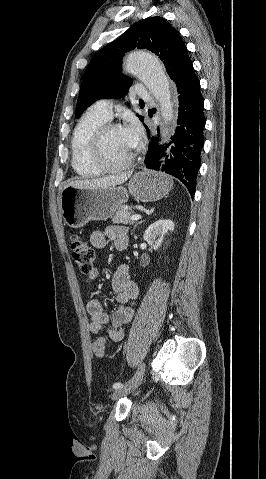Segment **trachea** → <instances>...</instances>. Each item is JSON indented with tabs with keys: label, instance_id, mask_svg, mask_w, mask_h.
<instances>
[{
	"label": "trachea",
	"instance_id": "trachea-1",
	"mask_svg": "<svg viewBox=\"0 0 266 479\" xmlns=\"http://www.w3.org/2000/svg\"><path fill=\"white\" fill-rule=\"evenodd\" d=\"M140 103H141V104H144V102H143V101H140Z\"/></svg>",
	"mask_w": 266,
	"mask_h": 479
}]
</instances>
